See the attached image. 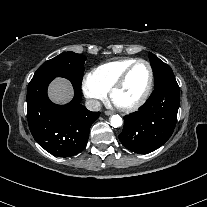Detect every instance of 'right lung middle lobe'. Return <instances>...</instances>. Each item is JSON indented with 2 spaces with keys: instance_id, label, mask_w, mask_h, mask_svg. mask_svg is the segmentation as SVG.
Segmentation results:
<instances>
[{
  "instance_id": "dd1d6c3e",
  "label": "right lung middle lobe",
  "mask_w": 207,
  "mask_h": 207,
  "mask_svg": "<svg viewBox=\"0 0 207 207\" xmlns=\"http://www.w3.org/2000/svg\"><path fill=\"white\" fill-rule=\"evenodd\" d=\"M86 57L73 52H64L46 62H44L35 72L32 79L42 76L64 77L76 86H81L84 62Z\"/></svg>"
}]
</instances>
